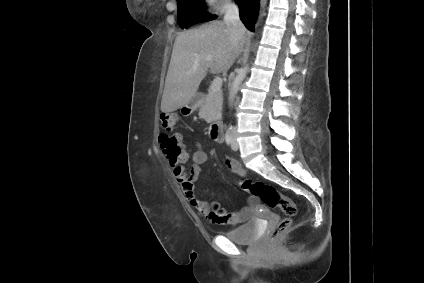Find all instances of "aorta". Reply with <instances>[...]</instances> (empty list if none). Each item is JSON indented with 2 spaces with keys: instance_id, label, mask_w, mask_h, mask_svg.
Returning <instances> with one entry per match:
<instances>
[{
  "instance_id": "762f6f07",
  "label": "aorta",
  "mask_w": 424,
  "mask_h": 283,
  "mask_svg": "<svg viewBox=\"0 0 424 283\" xmlns=\"http://www.w3.org/2000/svg\"><path fill=\"white\" fill-rule=\"evenodd\" d=\"M267 0H261V7L264 8L266 5ZM264 14V13H263ZM248 71V66H245L241 69H239L238 74L234 78L233 82L231 83L230 91H229V104L232 105L235 99V96L239 90V87L243 80L246 77Z\"/></svg>"
}]
</instances>
